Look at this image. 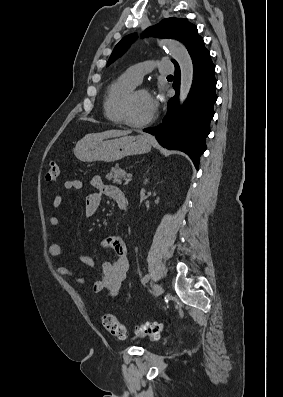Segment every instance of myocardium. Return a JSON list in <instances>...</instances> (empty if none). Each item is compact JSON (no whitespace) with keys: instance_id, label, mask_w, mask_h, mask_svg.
<instances>
[{"instance_id":"f54148a6","label":"myocardium","mask_w":283,"mask_h":397,"mask_svg":"<svg viewBox=\"0 0 283 397\" xmlns=\"http://www.w3.org/2000/svg\"><path fill=\"white\" fill-rule=\"evenodd\" d=\"M138 92H145L148 94V91L146 89L135 87L127 93V95L122 100L121 107H120V113H121L123 123L130 127H133V128H141V127L147 126L154 120V115L152 117H150L149 119H147L145 121H141V122H136L131 118V114H130L131 104H132V101H133L135 95Z\"/></svg>"}]
</instances>
